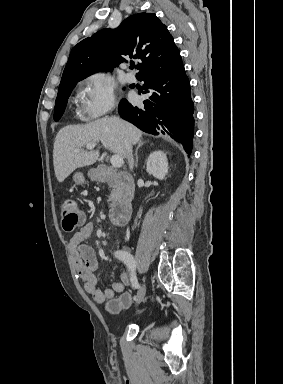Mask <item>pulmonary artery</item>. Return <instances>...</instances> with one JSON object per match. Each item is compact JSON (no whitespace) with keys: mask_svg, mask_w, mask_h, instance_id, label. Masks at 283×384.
Masks as SVG:
<instances>
[{"mask_svg":"<svg viewBox=\"0 0 283 384\" xmlns=\"http://www.w3.org/2000/svg\"><path fill=\"white\" fill-rule=\"evenodd\" d=\"M125 80L128 83H136L137 82L136 76L131 72H126Z\"/></svg>","mask_w":283,"mask_h":384,"instance_id":"e3ab8cb5","label":"pulmonary artery"}]
</instances>
